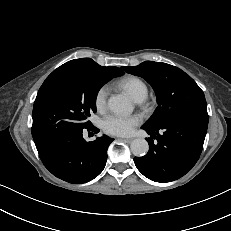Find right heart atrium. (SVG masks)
<instances>
[{
  "label": "right heart atrium",
  "instance_id": "1",
  "mask_svg": "<svg viewBox=\"0 0 231 231\" xmlns=\"http://www.w3.org/2000/svg\"><path fill=\"white\" fill-rule=\"evenodd\" d=\"M107 96H108V88L106 86H102L97 90L94 98V103L97 110L102 111L105 109Z\"/></svg>",
  "mask_w": 231,
  "mask_h": 231
}]
</instances>
